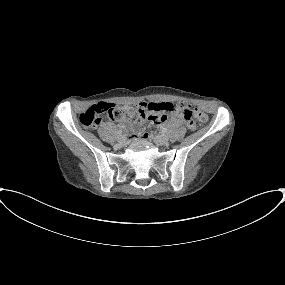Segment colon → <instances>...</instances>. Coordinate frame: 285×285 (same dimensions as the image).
I'll use <instances>...</instances> for the list:
<instances>
[{
  "instance_id": "5ec220e1",
  "label": "colon",
  "mask_w": 285,
  "mask_h": 285,
  "mask_svg": "<svg viewBox=\"0 0 285 285\" xmlns=\"http://www.w3.org/2000/svg\"><path fill=\"white\" fill-rule=\"evenodd\" d=\"M170 114L182 117L187 121L204 123L207 120L205 113L193 108L185 102L172 104L169 107ZM152 110L146 104L135 106H116L112 103L100 102L92 105L79 116L80 123L86 128H95L104 118L112 120L134 121L142 115L151 114Z\"/></svg>"
}]
</instances>
